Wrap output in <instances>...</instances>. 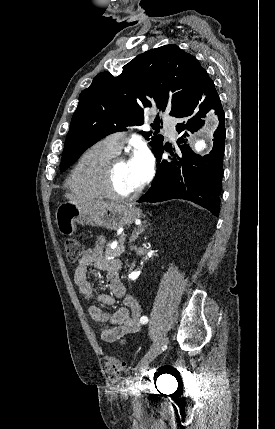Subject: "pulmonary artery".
I'll list each match as a JSON object with an SVG mask.
<instances>
[{"mask_svg": "<svg viewBox=\"0 0 275 429\" xmlns=\"http://www.w3.org/2000/svg\"><path fill=\"white\" fill-rule=\"evenodd\" d=\"M164 128L171 138L175 137V122L170 118L164 120ZM124 135L122 133H114L105 137L101 142L114 152H118L123 144Z\"/></svg>", "mask_w": 275, "mask_h": 429, "instance_id": "1", "label": "pulmonary artery"}]
</instances>
